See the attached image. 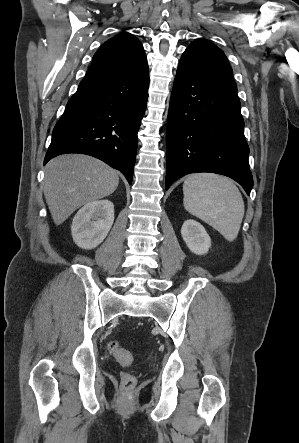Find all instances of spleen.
I'll list each match as a JSON object with an SVG mask.
<instances>
[{"mask_svg": "<svg viewBox=\"0 0 299 443\" xmlns=\"http://www.w3.org/2000/svg\"><path fill=\"white\" fill-rule=\"evenodd\" d=\"M184 207L227 240L236 239L244 216V202L236 185L223 176L194 174L183 184Z\"/></svg>", "mask_w": 299, "mask_h": 443, "instance_id": "3e777b00", "label": "spleen"}]
</instances>
